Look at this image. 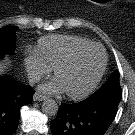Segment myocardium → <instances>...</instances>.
Listing matches in <instances>:
<instances>
[{"instance_id": "f54148a6", "label": "myocardium", "mask_w": 135, "mask_h": 135, "mask_svg": "<svg viewBox=\"0 0 135 135\" xmlns=\"http://www.w3.org/2000/svg\"><path fill=\"white\" fill-rule=\"evenodd\" d=\"M91 47H98L101 49V51L103 53L102 66H101L98 74L96 75V77L86 88H84L83 90H81L80 92H77V93L66 91L67 96L72 99H80V98L87 96L89 93H91L96 88V86L101 81V79L105 73L107 61H108V56H107V52H106L105 48L100 43H97V42H92V43L80 46L77 49L73 50L65 58L61 59L53 68L54 75L56 76V74L58 73V71L60 69L71 64L82 52H84L85 50H87Z\"/></svg>"}]
</instances>
